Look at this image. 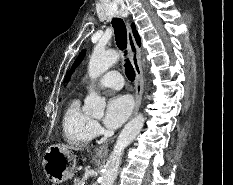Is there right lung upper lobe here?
I'll return each instance as SVG.
<instances>
[{
	"instance_id": "1",
	"label": "right lung upper lobe",
	"mask_w": 233,
	"mask_h": 185,
	"mask_svg": "<svg viewBox=\"0 0 233 185\" xmlns=\"http://www.w3.org/2000/svg\"><path fill=\"white\" fill-rule=\"evenodd\" d=\"M132 31H133V35L136 39L137 44L140 46V37L138 35V32L136 31L134 24H132Z\"/></svg>"
}]
</instances>
